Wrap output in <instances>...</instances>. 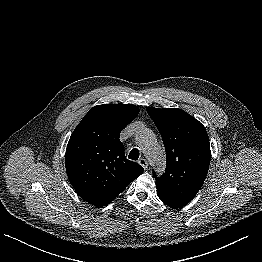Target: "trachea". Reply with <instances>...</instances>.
Wrapping results in <instances>:
<instances>
[{
  "label": "trachea",
  "instance_id": "1",
  "mask_svg": "<svg viewBox=\"0 0 262 262\" xmlns=\"http://www.w3.org/2000/svg\"><path fill=\"white\" fill-rule=\"evenodd\" d=\"M139 156H140V152L138 149L135 148L130 151L128 158L136 161L138 160Z\"/></svg>",
  "mask_w": 262,
  "mask_h": 262
}]
</instances>
